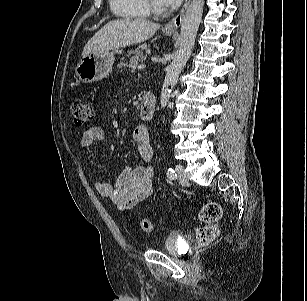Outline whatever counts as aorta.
<instances>
[{
    "instance_id": "aorta-1",
    "label": "aorta",
    "mask_w": 307,
    "mask_h": 301,
    "mask_svg": "<svg viewBox=\"0 0 307 301\" xmlns=\"http://www.w3.org/2000/svg\"><path fill=\"white\" fill-rule=\"evenodd\" d=\"M203 8L204 0H192L185 12L181 24L179 47L166 69L161 90L160 105L162 109L167 106L172 89L177 84L178 77L190 57L201 23Z\"/></svg>"
}]
</instances>
